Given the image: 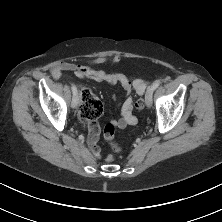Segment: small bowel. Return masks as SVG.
I'll return each mask as SVG.
<instances>
[{
  "label": "small bowel",
  "mask_w": 222,
  "mask_h": 222,
  "mask_svg": "<svg viewBox=\"0 0 222 222\" xmlns=\"http://www.w3.org/2000/svg\"><path fill=\"white\" fill-rule=\"evenodd\" d=\"M119 61V56H101L90 60L87 64L61 62L54 64L50 72L54 78H59L64 71H72L80 79H93L98 82H106L112 85L120 84L127 96L120 106V117L113 121L112 125L119 129H123L128 125L136 124L137 118L133 114L132 92L137 95H142L147 87V83L142 79H131L122 73H109L96 68L98 65L117 63ZM98 118L90 119L87 122L88 145L96 158L101 157L100 149L97 145L100 131V126L97 121Z\"/></svg>",
  "instance_id": "c3829d8e"
}]
</instances>
